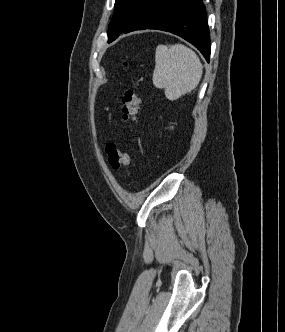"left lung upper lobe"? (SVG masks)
Instances as JSON below:
<instances>
[{
  "label": "left lung upper lobe",
  "mask_w": 285,
  "mask_h": 332,
  "mask_svg": "<svg viewBox=\"0 0 285 332\" xmlns=\"http://www.w3.org/2000/svg\"><path fill=\"white\" fill-rule=\"evenodd\" d=\"M152 0H115V12L109 24L108 42H112L148 6Z\"/></svg>",
  "instance_id": "1"
}]
</instances>
